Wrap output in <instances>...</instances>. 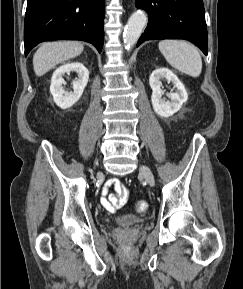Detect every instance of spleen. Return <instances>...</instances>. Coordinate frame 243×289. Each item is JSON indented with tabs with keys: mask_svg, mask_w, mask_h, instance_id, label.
<instances>
[{
	"mask_svg": "<svg viewBox=\"0 0 243 289\" xmlns=\"http://www.w3.org/2000/svg\"><path fill=\"white\" fill-rule=\"evenodd\" d=\"M159 50L166 61L175 69L192 77H198L202 70L201 56L192 44L166 39L159 43Z\"/></svg>",
	"mask_w": 243,
	"mask_h": 289,
	"instance_id": "3e777b00",
	"label": "spleen"
}]
</instances>
